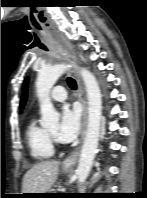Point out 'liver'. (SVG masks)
<instances>
[{
  "instance_id": "1",
  "label": "liver",
  "mask_w": 147,
  "mask_h": 198,
  "mask_svg": "<svg viewBox=\"0 0 147 198\" xmlns=\"http://www.w3.org/2000/svg\"><path fill=\"white\" fill-rule=\"evenodd\" d=\"M59 161H42L26 172L23 178V193H46L55 183Z\"/></svg>"
}]
</instances>
